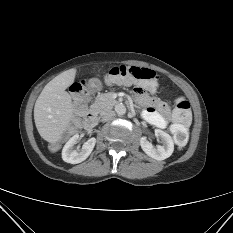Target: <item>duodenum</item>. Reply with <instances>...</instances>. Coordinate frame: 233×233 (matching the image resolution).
<instances>
[{"instance_id":"1","label":"duodenum","mask_w":233,"mask_h":233,"mask_svg":"<svg viewBox=\"0 0 233 233\" xmlns=\"http://www.w3.org/2000/svg\"><path fill=\"white\" fill-rule=\"evenodd\" d=\"M85 95H89L88 91H85ZM97 122V114L94 110H91L88 112V114L86 115V118H85V126L87 128H92L95 126Z\"/></svg>"}]
</instances>
